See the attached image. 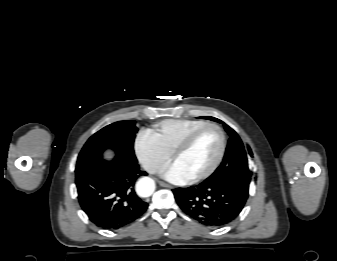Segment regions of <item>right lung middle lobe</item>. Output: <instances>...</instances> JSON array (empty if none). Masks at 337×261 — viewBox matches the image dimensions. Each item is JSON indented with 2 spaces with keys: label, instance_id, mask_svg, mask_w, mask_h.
Segmentation results:
<instances>
[{
  "label": "right lung middle lobe",
  "instance_id": "1",
  "mask_svg": "<svg viewBox=\"0 0 337 261\" xmlns=\"http://www.w3.org/2000/svg\"><path fill=\"white\" fill-rule=\"evenodd\" d=\"M138 129L135 121H119L110 124L92 135L82 148L75 172L78 173L103 160L102 153L110 148L118 157L137 162L133 144Z\"/></svg>",
  "mask_w": 337,
  "mask_h": 261
}]
</instances>
